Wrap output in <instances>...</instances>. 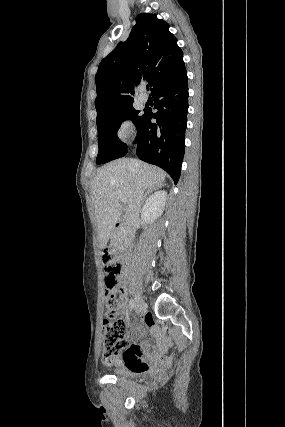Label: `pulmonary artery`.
<instances>
[{"label": "pulmonary artery", "mask_w": 285, "mask_h": 427, "mask_svg": "<svg viewBox=\"0 0 285 427\" xmlns=\"http://www.w3.org/2000/svg\"><path fill=\"white\" fill-rule=\"evenodd\" d=\"M138 98L141 102L145 103L148 100V95L147 93L142 89L139 92Z\"/></svg>", "instance_id": "pulmonary-artery-1"}]
</instances>
